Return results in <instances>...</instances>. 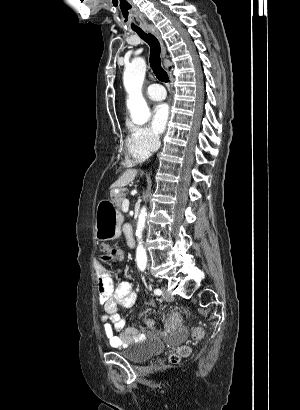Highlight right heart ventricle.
Returning a JSON list of instances; mask_svg holds the SVG:
<instances>
[{"label":"right heart ventricle","instance_id":"right-heart-ventricle-1","mask_svg":"<svg viewBox=\"0 0 300 410\" xmlns=\"http://www.w3.org/2000/svg\"><path fill=\"white\" fill-rule=\"evenodd\" d=\"M127 144H128V140H127ZM127 147H128V146H127ZM133 159H135V158H134V157H132V158H131V157H128V158H127V162L131 163V162L133 161Z\"/></svg>","mask_w":300,"mask_h":410}]
</instances>
